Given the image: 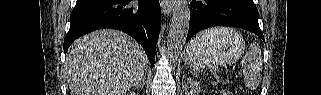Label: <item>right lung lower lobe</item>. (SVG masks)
<instances>
[{
	"mask_svg": "<svg viewBox=\"0 0 321 95\" xmlns=\"http://www.w3.org/2000/svg\"><path fill=\"white\" fill-rule=\"evenodd\" d=\"M77 0L64 40L66 53L78 37L97 29L113 28L132 36L145 50L152 65L161 28L159 0Z\"/></svg>",
	"mask_w": 321,
	"mask_h": 95,
	"instance_id": "98d812e1",
	"label": "right lung lower lobe"
}]
</instances>
